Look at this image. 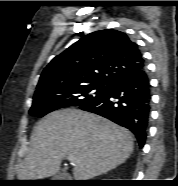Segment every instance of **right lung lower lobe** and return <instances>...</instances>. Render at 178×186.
I'll list each match as a JSON object with an SVG mask.
<instances>
[{"mask_svg":"<svg viewBox=\"0 0 178 186\" xmlns=\"http://www.w3.org/2000/svg\"><path fill=\"white\" fill-rule=\"evenodd\" d=\"M150 84L145 64L115 79L97 99L79 108L103 116L133 132L143 147L150 116Z\"/></svg>","mask_w":178,"mask_h":186,"instance_id":"1","label":"right lung lower lobe"}]
</instances>
